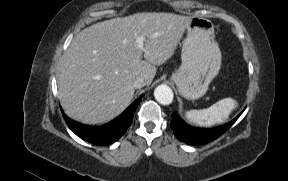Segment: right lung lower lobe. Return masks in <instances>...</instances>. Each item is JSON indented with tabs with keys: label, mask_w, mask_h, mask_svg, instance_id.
<instances>
[{
	"label": "right lung lower lobe",
	"mask_w": 288,
	"mask_h": 181,
	"mask_svg": "<svg viewBox=\"0 0 288 181\" xmlns=\"http://www.w3.org/2000/svg\"><path fill=\"white\" fill-rule=\"evenodd\" d=\"M142 97L133 102L121 115L101 126H87L69 119L62 111L68 127L81 139L95 145L106 146L120 139L130 127L134 112Z\"/></svg>",
	"instance_id": "right-lung-lower-lobe-1"
}]
</instances>
